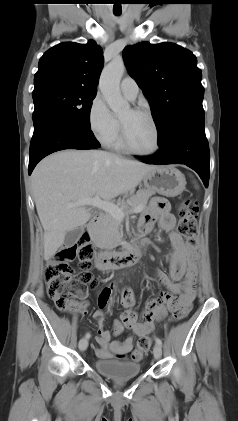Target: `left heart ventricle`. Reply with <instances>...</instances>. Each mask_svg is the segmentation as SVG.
I'll return each mask as SVG.
<instances>
[{"mask_svg": "<svg viewBox=\"0 0 238 421\" xmlns=\"http://www.w3.org/2000/svg\"><path fill=\"white\" fill-rule=\"evenodd\" d=\"M119 119L125 126L130 144L136 150L147 152L154 148L155 131L147 116L127 109L119 116Z\"/></svg>", "mask_w": 238, "mask_h": 421, "instance_id": "obj_1", "label": "left heart ventricle"}]
</instances>
